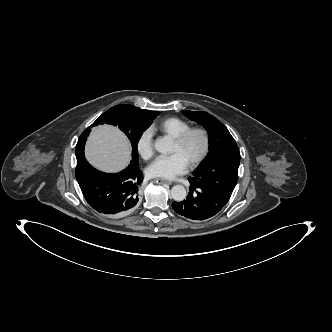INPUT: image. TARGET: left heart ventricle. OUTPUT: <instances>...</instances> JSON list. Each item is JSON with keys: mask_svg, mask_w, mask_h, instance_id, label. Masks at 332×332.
Returning a JSON list of instances; mask_svg holds the SVG:
<instances>
[{"mask_svg": "<svg viewBox=\"0 0 332 332\" xmlns=\"http://www.w3.org/2000/svg\"><path fill=\"white\" fill-rule=\"evenodd\" d=\"M203 146V139L200 134H193L186 144L182 147L178 146L175 142L173 144L172 153L180 154L187 163L190 162L196 155L199 154Z\"/></svg>", "mask_w": 332, "mask_h": 332, "instance_id": "b2bd125f", "label": "left heart ventricle"}]
</instances>
